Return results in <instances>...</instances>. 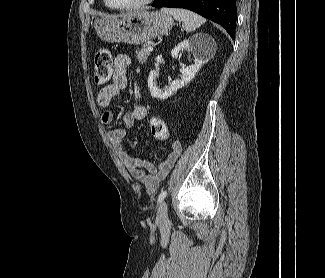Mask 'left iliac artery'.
<instances>
[{
	"instance_id": "1",
	"label": "left iliac artery",
	"mask_w": 325,
	"mask_h": 278,
	"mask_svg": "<svg viewBox=\"0 0 325 278\" xmlns=\"http://www.w3.org/2000/svg\"><path fill=\"white\" fill-rule=\"evenodd\" d=\"M166 195H167V192L162 191L158 196V203L162 202L164 200V198L166 197Z\"/></svg>"
}]
</instances>
